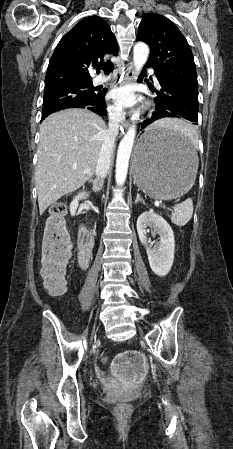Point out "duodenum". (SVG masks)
<instances>
[{
	"instance_id": "obj_1",
	"label": "duodenum",
	"mask_w": 233,
	"mask_h": 449,
	"mask_svg": "<svg viewBox=\"0 0 233 449\" xmlns=\"http://www.w3.org/2000/svg\"><path fill=\"white\" fill-rule=\"evenodd\" d=\"M94 248V239L91 230L83 227L79 233V263L83 269H87Z\"/></svg>"
}]
</instances>
